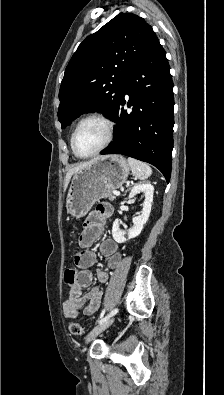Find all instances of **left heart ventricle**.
I'll return each mask as SVG.
<instances>
[{"label":"left heart ventricle","mask_w":224,"mask_h":395,"mask_svg":"<svg viewBox=\"0 0 224 395\" xmlns=\"http://www.w3.org/2000/svg\"><path fill=\"white\" fill-rule=\"evenodd\" d=\"M105 126L96 120H91L82 125L76 138V149L81 155L94 152L106 139Z\"/></svg>","instance_id":"1"}]
</instances>
